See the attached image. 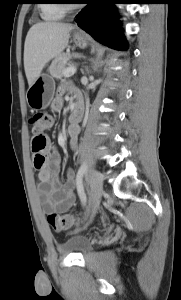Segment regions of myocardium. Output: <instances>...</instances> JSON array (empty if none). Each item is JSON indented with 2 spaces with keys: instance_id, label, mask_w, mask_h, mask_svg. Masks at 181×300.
Listing matches in <instances>:
<instances>
[{
  "instance_id": "myocardium-1",
  "label": "myocardium",
  "mask_w": 181,
  "mask_h": 300,
  "mask_svg": "<svg viewBox=\"0 0 181 300\" xmlns=\"http://www.w3.org/2000/svg\"><path fill=\"white\" fill-rule=\"evenodd\" d=\"M61 6H62V8L65 9V11L68 10V9H70V5H61Z\"/></svg>"
}]
</instances>
